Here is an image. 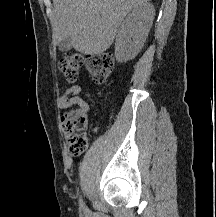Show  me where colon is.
<instances>
[{"label":"colon","mask_w":216,"mask_h":217,"mask_svg":"<svg viewBox=\"0 0 216 217\" xmlns=\"http://www.w3.org/2000/svg\"><path fill=\"white\" fill-rule=\"evenodd\" d=\"M87 66L90 76L95 83H103L111 75L114 59L109 54H101L86 59L79 52H69L58 62V68L68 83L75 82L80 70ZM88 115L83 110H73L62 123V131L68 142L69 152L78 156L87 147Z\"/></svg>","instance_id":"obj_1"}]
</instances>
